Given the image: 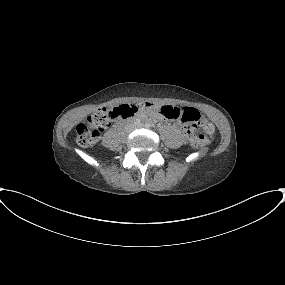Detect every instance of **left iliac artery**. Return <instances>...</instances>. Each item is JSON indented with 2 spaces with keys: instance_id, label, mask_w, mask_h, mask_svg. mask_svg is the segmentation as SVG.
Returning <instances> with one entry per match:
<instances>
[{
  "instance_id": "44dca946",
  "label": "left iliac artery",
  "mask_w": 285,
  "mask_h": 285,
  "mask_svg": "<svg viewBox=\"0 0 285 285\" xmlns=\"http://www.w3.org/2000/svg\"><path fill=\"white\" fill-rule=\"evenodd\" d=\"M145 126H146L147 128H150L152 125H151L150 122H146V123H145Z\"/></svg>"
}]
</instances>
